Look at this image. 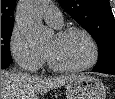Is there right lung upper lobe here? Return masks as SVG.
<instances>
[{"label":"right lung upper lobe","mask_w":115,"mask_h":99,"mask_svg":"<svg viewBox=\"0 0 115 99\" xmlns=\"http://www.w3.org/2000/svg\"><path fill=\"white\" fill-rule=\"evenodd\" d=\"M16 0H1V26L14 25V7Z\"/></svg>","instance_id":"cb5924a9"}]
</instances>
